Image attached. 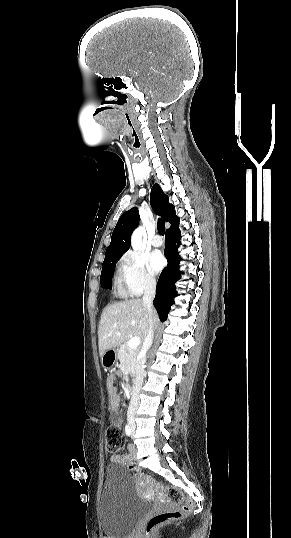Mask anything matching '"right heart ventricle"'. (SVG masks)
Returning a JSON list of instances; mask_svg holds the SVG:
<instances>
[{"instance_id":"e07e8e85","label":"right heart ventricle","mask_w":291,"mask_h":538,"mask_svg":"<svg viewBox=\"0 0 291 538\" xmlns=\"http://www.w3.org/2000/svg\"><path fill=\"white\" fill-rule=\"evenodd\" d=\"M114 286H115V290H116L117 294L120 297H127L128 296L129 292H128L127 288H126L124 278H123V274H122L120 269H118L116 271V273H115Z\"/></svg>"}]
</instances>
